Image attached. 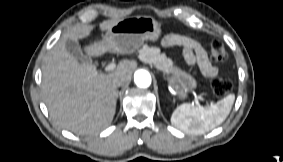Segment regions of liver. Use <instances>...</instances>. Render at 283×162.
I'll return each instance as SVG.
<instances>
[{"label": "liver", "mask_w": 283, "mask_h": 162, "mask_svg": "<svg viewBox=\"0 0 283 162\" xmlns=\"http://www.w3.org/2000/svg\"><path fill=\"white\" fill-rule=\"evenodd\" d=\"M120 19L99 24L101 31L109 30ZM94 26L76 25L70 28L52 47L42 66V95L50 117L61 128L78 135H88L107 128L116 112L118 97L114 79L131 80L136 63L122 61L108 74L99 72L88 62H79L66 49L68 39H84L90 36ZM89 57L105 53H123L111 38L94 41L85 48Z\"/></svg>", "instance_id": "obj_1"}]
</instances>
